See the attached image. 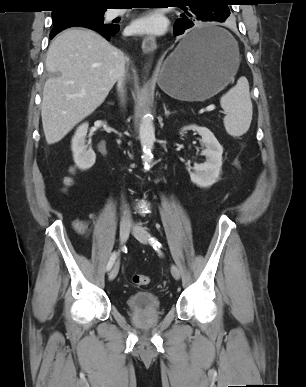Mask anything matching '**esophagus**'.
<instances>
[{"label": "esophagus", "instance_id": "1", "mask_svg": "<svg viewBox=\"0 0 306 387\" xmlns=\"http://www.w3.org/2000/svg\"><path fill=\"white\" fill-rule=\"evenodd\" d=\"M142 49L145 53H150L156 49V40L153 36H145L142 41Z\"/></svg>", "mask_w": 306, "mask_h": 387}]
</instances>
